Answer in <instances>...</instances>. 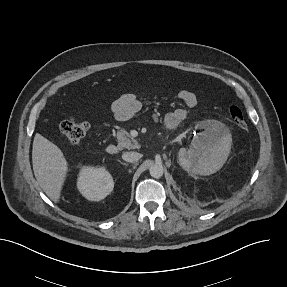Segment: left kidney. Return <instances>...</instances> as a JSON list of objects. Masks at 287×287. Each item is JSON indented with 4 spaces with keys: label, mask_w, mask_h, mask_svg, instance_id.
<instances>
[{
    "label": "left kidney",
    "mask_w": 287,
    "mask_h": 287,
    "mask_svg": "<svg viewBox=\"0 0 287 287\" xmlns=\"http://www.w3.org/2000/svg\"><path fill=\"white\" fill-rule=\"evenodd\" d=\"M205 131L194 137L189 150H179V163L190 173L211 175L222 168L230 148L231 135L218 124H207Z\"/></svg>",
    "instance_id": "left-kidney-1"
}]
</instances>
